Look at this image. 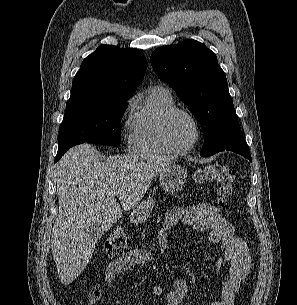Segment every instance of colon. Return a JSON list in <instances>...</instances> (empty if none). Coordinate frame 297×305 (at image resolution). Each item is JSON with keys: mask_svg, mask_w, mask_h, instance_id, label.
Returning a JSON list of instances; mask_svg holds the SVG:
<instances>
[{"mask_svg": "<svg viewBox=\"0 0 297 305\" xmlns=\"http://www.w3.org/2000/svg\"><path fill=\"white\" fill-rule=\"evenodd\" d=\"M193 179L198 184L215 183L219 202L225 205L232 195L235 177L231 170L222 163H215L197 169ZM106 247L111 252H123L128 247V237L124 229L116 228L107 238Z\"/></svg>", "mask_w": 297, "mask_h": 305, "instance_id": "colon-1", "label": "colon"}]
</instances>
